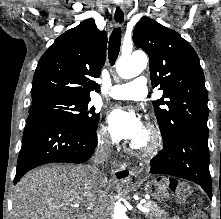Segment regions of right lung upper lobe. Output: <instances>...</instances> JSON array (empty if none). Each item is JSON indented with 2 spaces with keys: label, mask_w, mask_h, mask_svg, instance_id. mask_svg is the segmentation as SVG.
Listing matches in <instances>:
<instances>
[{
  "label": "right lung upper lobe",
  "mask_w": 221,
  "mask_h": 219,
  "mask_svg": "<svg viewBox=\"0 0 221 219\" xmlns=\"http://www.w3.org/2000/svg\"><path fill=\"white\" fill-rule=\"evenodd\" d=\"M107 35L90 18L59 36L38 62L32 102L47 98L90 99L99 92L93 78L106 59Z\"/></svg>",
  "instance_id": "cb5924a9"
}]
</instances>
